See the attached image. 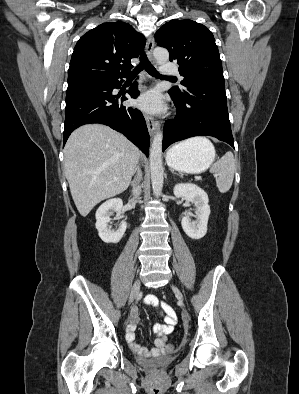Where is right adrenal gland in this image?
I'll use <instances>...</instances> for the list:
<instances>
[{
  "mask_svg": "<svg viewBox=\"0 0 299 394\" xmlns=\"http://www.w3.org/2000/svg\"><path fill=\"white\" fill-rule=\"evenodd\" d=\"M141 177H142L141 172H140V170H138L137 177L131 182V186L135 187L140 182Z\"/></svg>",
  "mask_w": 299,
  "mask_h": 394,
  "instance_id": "2a0ac1e0",
  "label": "right adrenal gland"
}]
</instances>
